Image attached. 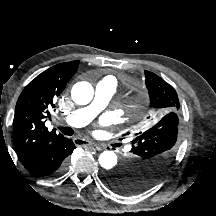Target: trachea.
<instances>
[{
    "instance_id": "3493384b",
    "label": "trachea",
    "mask_w": 216,
    "mask_h": 216,
    "mask_svg": "<svg viewBox=\"0 0 216 216\" xmlns=\"http://www.w3.org/2000/svg\"><path fill=\"white\" fill-rule=\"evenodd\" d=\"M59 129L63 134L68 136H71L74 133L73 129L70 127H59Z\"/></svg>"
}]
</instances>
